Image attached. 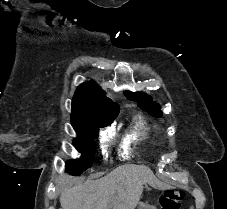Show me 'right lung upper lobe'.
Segmentation results:
<instances>
[{
    "mask_svg": "<svg viewBox=\"0 0 227 209\" xmlns=\"http://www.w3.org/2000/svg\"><path fill=\"white\" fill-rule=\"evenodd\" d=\"M105 94L94 82L81 84L72 100L71 121L92 116L115 119L119 113V106Z\"/></svg>",
    "mask_w": 227,
    "mask_h": 209,
    "instance_id": "right-lung-upper-lobe-1",
    "label": "right lung upper lobe"
}]
</instances>
